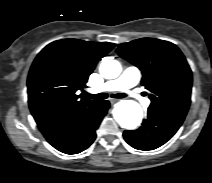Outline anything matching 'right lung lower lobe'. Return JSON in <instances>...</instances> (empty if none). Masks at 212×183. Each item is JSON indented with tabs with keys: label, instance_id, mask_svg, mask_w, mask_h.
<instances>
[{
	"label": "right lung lower lobe",
	"instance_id": "obj_1",
	"mask_svg": "<svg viewBox=\"0 0 212 183\" xmlns=\"http://www.w3.org/2000/svg\"><path fill=\"white\" fill-rule=\"evenodd\" d=\"M109 107L108 101H100L91 108L59 116L38 127L57 150L66 154H77L94 142L96 130Z\"/></svg>",
	"mask_w": 212,
	"mask_h": 183
}]
</instances>
